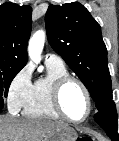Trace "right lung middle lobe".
Listing matches in <instances>:
<instances>
[{"instance_id": "dd1d6c3e", "label": "right lung middle lobe", "mask_w": 119, "mask_h": 141, "mask_svg": "<svg viewBox=\"0 0 119 141\" xmlns=\"http://www.w3.org/2000/svg\"><path fill=\"white\" fill-rule=\"evenodd\" d=\"M20 70H2L0 69V110L4 106L3 97H7L8 89L13 78Z\"/></svg>"}]
</instances>
